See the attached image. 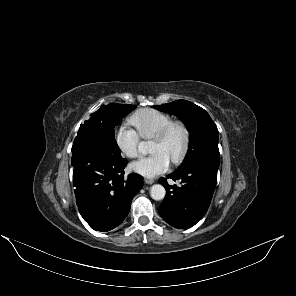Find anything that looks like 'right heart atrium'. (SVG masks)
Masks as SVG:
<instances>
[{"instance_id": "right-heart-atrium-1", "label": "right heart atrium", "mask_w": 296, "mask_h": 296, "mask_svg": "<svg viewBox=\"0 0 296 296\" xmlns=\"http://www.w3.org/2000/svg\"><path fill=\"white\" fill-rule=\"evenodd\" d=\"M115 144L120 152L129 158H137L140 156L139 134L127 125H120L116 129Z\"/></svg>"}]
</instances>
